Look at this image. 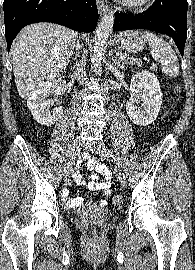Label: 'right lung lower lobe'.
I'll use <instances>...</instances> for the list:
<instances>
[{"mask_svg":"<svg viewBox=\"0 0 195 270\" xmlns=\"http://www.w3.org/2000/svg\"><path fill=\"white\" fill-rule=\"evenodd\" d=\"M8 52L12 41L26 25L52 22L74 31L92 32L98 21L96 0H4Z\"/></svg>","mask_w":195,"mask_h":270,"instance_id":"1","label":"right lung lower lobe"}]
</instances>
